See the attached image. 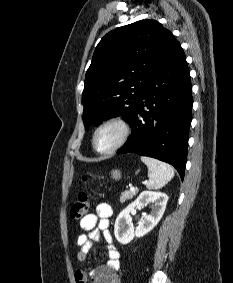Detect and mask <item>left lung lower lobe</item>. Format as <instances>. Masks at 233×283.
<instances>
[{"instance_id":"1","label":"left lung lower lobe","mask_w":233,"mask_h":283,"mask_svg":"<svg viewBox=\"0 0 233 283\" xmlns=\"http://www.w3.org/2000/svg\"><path fill=\"white\" fill-rule=\"evenodd\" d=\"M192 105L190 72L178 42L149 77L130 121L133 133L117 153L134 152L167 162L183 179Z\"/></svg>"}]
</instances>
